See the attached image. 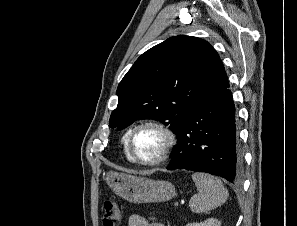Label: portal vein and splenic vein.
Masks as SVG:
<instances>
[{
	"instance_id": "obj_1",
	"label": "portal vein and splenic vein",
	"mask_w": 297,
	"mask_h": 226,
	"mask_svg": "<svg viewBox=\"0 0 297 226\" xmlns=\"http://www.w3.org/2000/svg\"><path fill=\"white\" fill-rule=\"evenodd\" d=\"M174 206H175V207H178V206H179V203H178V202H175V203H174Z\"/></svg>"
}]
</instances>
